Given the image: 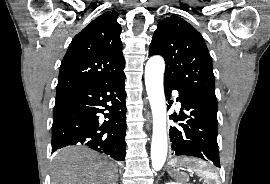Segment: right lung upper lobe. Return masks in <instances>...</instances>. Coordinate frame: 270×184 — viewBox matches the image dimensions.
<instances>
[{
    "mask_svg": "<svg viewBox=\"0 0 270 184\" xmlns=\"http://www.w3.org/2000/svg\"><path fill=\"white\" fill-rule=\"evenodd\" d=\"M116 11L89 23L69 45L61 62L56 92L102 82L123 73L125 60Z\"/></svg>",
    "mask_w": 270,
    "mask_h": 184,
    "instance_id": "right-lung-upper-lobe-1",
    "label": "right lung upper lobe"
}]
</instances>
